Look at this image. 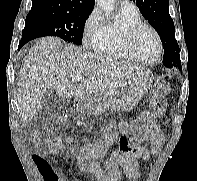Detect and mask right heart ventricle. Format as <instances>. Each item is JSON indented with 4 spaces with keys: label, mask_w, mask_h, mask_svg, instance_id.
<instances>
[{
    "label": "right heart ventricle",
    "mask_w": 197,
    "mask_h": 181,
    "mask_svg": "<svg viewBox=\"0 0 197 181\" xmlns=\"http://www.w3.org/2000/svg\"><path fill=\"white\" fill-rule=\"evenodd\" d=\"M143 22L141 14L136 7H120L116 19L105 24L101 34L94 40L92 47L101 56L135 60L125 44L127 30Z\"/></svg>",
    "instance_id": "e07e8e85"
}]
</instances>
